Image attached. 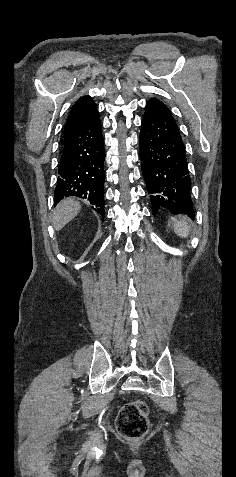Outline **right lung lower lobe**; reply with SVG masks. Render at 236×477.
Instances as JSON below:
<instances>
[{"label":"right lung lower lobe","mask_w":236,"mask_h":477,"mask_svg":"<svg viewBox=\"0 0 236 477\" xmlns=\"http://www.w3.org/2000/svg\"><path fill=\"white\" fill-rule=\"evenodd\" d=\"M104 141L98 112L78 131L64 138L54 202L68 196L86 199L103 218Z\"/></svg>","instance_id":"obj_1"}]
</instances>
